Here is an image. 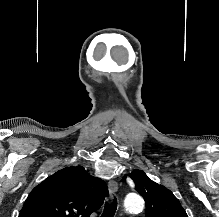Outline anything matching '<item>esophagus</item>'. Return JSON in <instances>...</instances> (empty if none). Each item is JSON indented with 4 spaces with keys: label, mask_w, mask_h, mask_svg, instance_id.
Returning a JSON list of instances; mask_svg holds the SVG:
<instances>
[{
    "label": "esophagus",
    "mask_w": 219,
    "mask_h": 217,
    "mask_svg": "<svg viewBox=\"0 0 219 217\" xmlns=\"http://www.w3.org/2000/svg\"><path fill=\"white\" fill-rule=\"evenodd\" d=\"M108 189L111 196H113L118 190V183L115 180H109Z\"/></svg>",
    "instance_id": "esophagus-1"
}]
</instances>
